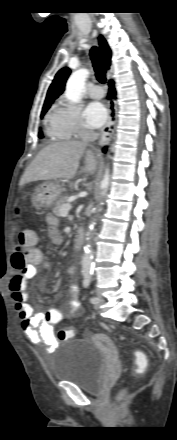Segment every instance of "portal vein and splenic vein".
<instances>
[{
    "label": "portal vein and splenic vein",
    "mask_w": 177,
    "mask_h": 440,
    "mask_svg": "<svg viewBox=\"0 0 177 440\" xmlns=\"http://www.w3.org/2000/svg\"><path fill=\"white\" fill-rule=\"evenodd\" d=\"M72 208V206L70 204H65L60 208V216L62 217H67L68 213L70 211V209Z\"/></svg>",
    "instance_id": "portal-vein-and-splenic-vein-1"
}]
</instances>
